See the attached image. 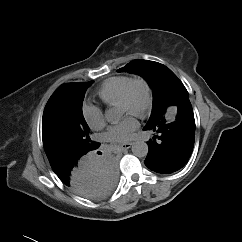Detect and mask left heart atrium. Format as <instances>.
<instances>
[{"label": "left heart atrium", "mask_w": 242, "mask_h": 242, "mask_svg": "<svg viewBox=\"0 0 242 242\" xmlns=\"http://www.w3.org/2000/svg\"><path fill=\"white\" fill-rule=\"evenodd\" d=\"M137 128L138 121L134 116L128 114L108 128L106 138L113 143H125L131 140L133 132Z\"/></svg>", "instance_id": "obj_1"}]
</instances>
